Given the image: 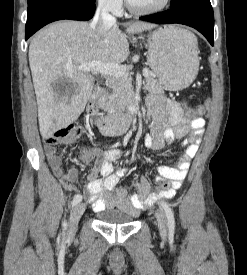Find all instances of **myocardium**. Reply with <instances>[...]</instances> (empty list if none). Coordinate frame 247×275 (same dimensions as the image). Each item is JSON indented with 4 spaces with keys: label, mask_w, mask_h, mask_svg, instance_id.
Instances as JSON below:
<instances>
[{
    "label": "myocardium",
    "mask_w": 247,
    "mask_h": 275,
    "mask_svg": "<svg viewBox=\"0 0 247 275\" xmlns=\"http://www.w3.org/2000/svg\"><path fill=\"white\" fill-rule=\"evenodd\" d=\"M171 0H164L160 5L152 8H136L133 6L130 0H126V5L128 10L135 14V15H151V14H156L168 7L170 4Z\"/></svg>",
    "instance_id": "obj_1"
}]
</instances>
